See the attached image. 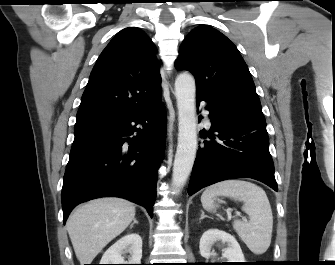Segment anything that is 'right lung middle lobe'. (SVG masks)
Listing matches in <instances>:
<instances>
[{
    "label": "right lung middle lobe",
    "mask_w": 335,
    "mask_h": 265,
    "mask_svg": "<svg viewBox=\"0 0 335 265\" xmlns=\"http://www.w3.org/2000/svg\"><path fill=\"white\" fill-rule=\"evenodd\" d=\"M78 128H81V127H75V129H78Z\"/></svg>",
    "instance_id": "right-lung-middle-lobe-1"
}]
</instances>
